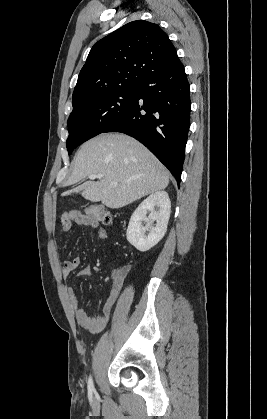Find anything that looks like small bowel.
<instances>
[{"label":"small bowel","mask_w":267,"mask_h":419,"mask_svg":"<svg viewBox=\"0 0 267 419\" xmlns=\"http://www.w3.org/2000/svg\"><path fill=\"white\" fill-rule=\"evenodd\" d=\"M74 224L84 226L90 229L97 230V237L101 241H105L108 238V232L105 228L99 227V223L95 220L89 219L82 215L80 211L73 210L65 212L61 216V225L62 231L68 232L71 230ZM80 264V258L74 257L69 260H65L63 263V269L61 275L64 279L68 278L70 273L78 268ZM127 268L121 270H116L112 273V286L109 289L108 297L103 306V314L99 317H91L85 309L80 307L79 299L77 296L76 289L74 287H69L67 289V294L70 300V304L75 313L76 322L85 328L86 330L97 333L102 331L105 326L108 324L109 319L112 314L114 305L120 295V292L123 288L125 278L127 276ZM91 267L86 266L80 270L78 277H85L90 275Z\"/></svg>","instance_id":"small-bowel-1"}]
</instances>
